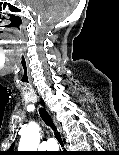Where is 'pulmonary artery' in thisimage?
<instances>
[{"label":"pulmonary artery","mask_w":119,"mask_h":155,"mask_svg":"<svg viewBox=\"0 0 119 155\" xmlns=\"http://www.w3.org/2000/svg\"><path fill=\"white\" fill-rule=\"evenodd\" d=\"M46 148L48 150H56L58 147H57V144H56L55 140L50 138L46 142Z\"/></svg>","instance_id":"pulmonary-artery-1"}]
</instances>
